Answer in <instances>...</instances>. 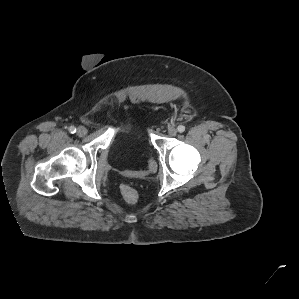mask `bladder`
Masks as SVG:
<instances>
[{
    "label": "bladder",
    "mask_w": 299,
    "mask_h": 299,
    "mask_svg": "<svg viewBox=\"0 0 299 299\" xmlns=\"http://www.w3.org/2000/svg\"><path fill=\"white\" fill-rule=\"evenodd\" d=\"M111 149L132 158L148 152L145 137L139 131H133L128 134L118 133L111 144ZM125 167L132 169L134 166L133 163L127 162Z\"/></svg>",
    "instance_id": "obj_1"
}]
</instances>
